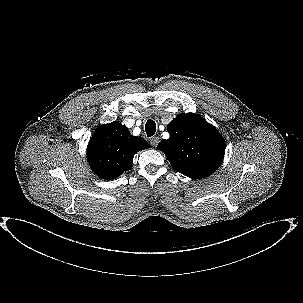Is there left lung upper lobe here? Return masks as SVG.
Masks as SVG:
<instances>
[{
    "mask_svg": "<svg viewBox=\"0 0 303 303\" xmlns=\"http://www.w3.org/2000/svg\"><path fill=\"white\" fill-rule=\"evenodd\" d=\"M169 139L157 148L165 153L172 168L185 176L201 179L221 165L225 143L217 129L197 114H179L168 126Z\"/></svg>",
    "mask_w": 303,
    "mask_h": 303,
    "instance_id": "1",
    "label": "left lung upper lobe"
}]
</instances>
